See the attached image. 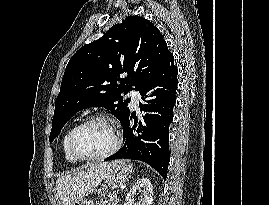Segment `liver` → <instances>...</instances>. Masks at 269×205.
I'll return each instance as SVG.
<instances>
[{
  "label": "liver",
  "instance_id": "obj_1",
  "mask_svg": "<svg viewBox=\"0 0 269 205\" xmlns=\"http://www.w3.org/2000/svg\"><path fill=\"white\" fill-rule=\"evenodd\" d=\"M107 165V162L90 164L84 170L59 177L56 189L61 205H70L74 200L94 192L104 179Z\"/></svg>",
  "mask_w": 269,
  "mask_h": 205
}]
</instances>
